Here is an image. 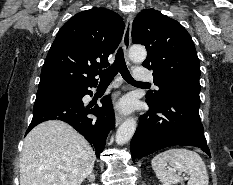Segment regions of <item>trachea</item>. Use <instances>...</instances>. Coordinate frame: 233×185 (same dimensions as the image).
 <instances>
[{
  "instance_id": "trachea-1",
  "label": "trachea",
  "mask_w": 233,
  "mask_h": 185,
  "mask_svg": "<svg viewBox=\"0 0 233 185\" xmlns=\"http://www.w3.org/2000/svg\"><path fill=\"white\" fill-rule=\"evenodd\" d=\"M118 72H120L123 79L130 84H145L143 82L135 81L132 78L125 63L122 48L118 49L114 63L107 69L99 71L100 84H110Z\"/></svg>"
}]
</instances>
